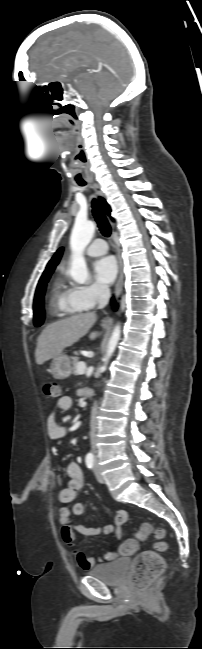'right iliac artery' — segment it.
<instances>
[{
	"mask_svg": "<svg viewBox=\"0 0 202 649\" xmlns=\"http://www.w3.org/2000/svg\"><path fill=\"white\" fill-rule=\"evenodd\" d=\"M86 465L89 469H92L94 466V457L92 455H87L85 458Z\"/></svg>",
	"mask_w": 202,
	"mask_h": 649,
	"instance_id": "obj_1",
	"label": "right iliac artery"
}]
</instances>
